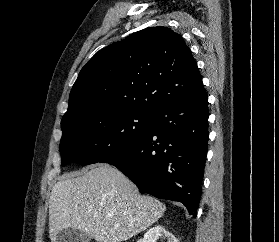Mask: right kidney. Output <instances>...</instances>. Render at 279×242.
Segmentation results:
<instances>
[{
  "mask_svg": "<svg viewBox=\"0 0 279 242\" xmlns=\"http://www.w3.org/2000/svg\"><path fill=\"white\" fill-rule=\"evenodd\" d=\"M159 238H167L168 242H179L178 239L172 233L167 231L162 225H155L150 228L144 237L137 242H157Z\"/></svg>",
  "mask_w": 279,
  "mask_h": 242,
  "instance_id": "obj_1",
  "label": "right kidney"
}]
</instances>
